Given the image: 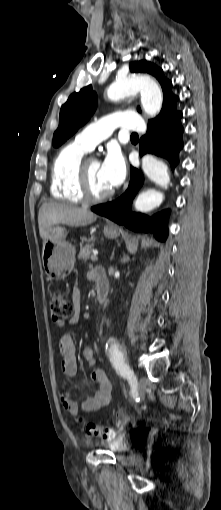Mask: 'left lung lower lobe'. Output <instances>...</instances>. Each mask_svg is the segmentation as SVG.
I'll return each instance as SVG.
<instances>
[{
  "instance_id": "left-lung-lower-lobe-1",
  "label": "left lung lower lobe",
  "mask_w": 221,
  "mask_h": 510,
  "mask_svg": "<svg viewBox=\"0 0 221 510\" xmlns=\"http://www.w3.org/2000/svg\"><path fill=\"white\" fill-rule=\"evenodd\" d=\"M182 112L170 111L160 118L149 121L148 131L140 140V154L153 153L167 159L174 169L178 164V154L183 147L181 125ZM144 182L142 173L130 167V183L124 194L115 201L100 204L91 208L99 215L125 225L136 232H151L159 241H165L168 236L167 218L169 211H162L151 217L141 213H132L131 205L138 190Z\"/></svg>"
}]
</instances>
